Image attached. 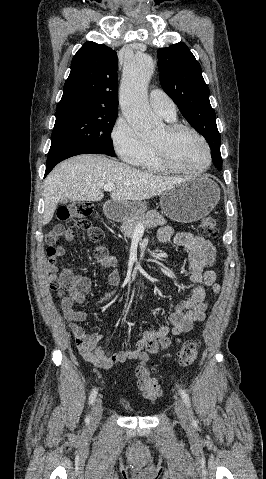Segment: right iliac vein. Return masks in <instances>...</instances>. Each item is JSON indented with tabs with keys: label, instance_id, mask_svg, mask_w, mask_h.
<instances>
[{
	"label": "right iliac vein",
	"instance_id": "obj_1",
	"mask_svg": "<svg viewBox=\"0 0 266 479\" xmlns=\"http://www.w3.org/2000/svg\"><path fill=\"white\" fill-rule=\"evenodd\" d=\"M102 400L100 398L96 399L93 406H92V411H91V419L89 423V430L92 431L94 430L101 418L102 415Z\"/></svg>",
	"mask_w": 266,
	"mask_h": 479
}]
</instances>
